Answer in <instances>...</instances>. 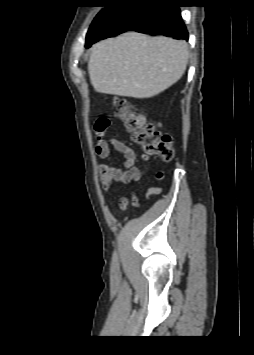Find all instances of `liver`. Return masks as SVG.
Here are the masks:
<instances>
[{"mask_svg":"<svg viewBox=\"0 0 254 355\" xmlns=\"http://www.w3.org/2000/svg\"><path fill=\"white\" fill-rule=\"evenodd\" d=\"M188 59L186 41L128 32L93 46L88 73L96 92L151 98L182 77Z\"/></svg>","mask_w":254,"mask_h":355,"instance_id":"1","label":"liver"}]
</instances>
